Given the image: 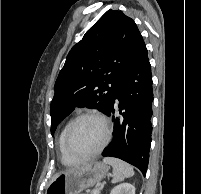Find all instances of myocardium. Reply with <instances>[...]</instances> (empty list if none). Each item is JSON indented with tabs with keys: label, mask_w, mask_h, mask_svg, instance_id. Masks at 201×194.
<instances>
[{
	"label": "myocardium",
	"mask_w": 201,
	"mask_h": 194,
	"mask_svg": "<svg viewBox=\"0 0 201 194\" xmlns=\"http://www.w3.org/2000/svg\"><path fill=\"white\" fill-rule=\"evenodd\" d=\"M85 118H94V119L99 120L104 126L105 137H104L102 144L99 146L98 149H96L95 151H93L89 154L81 155V154L75 153L72 150L71 145H70V140H71V135H72L75 125L80 120L85 119ZM110 139H111V128H110V124H109L107 118L97 112H84V113L77 115L73 120L70 121V123L67 127V130H66V133H65V137H64V148H65L66 153L72 159L77 160V161H85V160H89V159H92V158L98 156L104 150V148L108 145Z\"/></svg>",
	"instance_id": "obj_1"
}]
</instances>
